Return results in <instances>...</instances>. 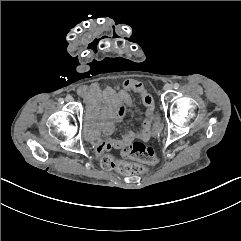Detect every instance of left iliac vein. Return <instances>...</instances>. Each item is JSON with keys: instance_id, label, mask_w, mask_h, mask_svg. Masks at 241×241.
<instances>
[{"instance_id": "obj_1", "label": "left iliac vein", "mask_w": 241, "mask_h": 241, "mask_svg": "<svg viewBox=\"0 0 241 241\" xmlns=\"http://www.w3.org/2000/svg\"><path fill=\"white\" fill-rule=\"evenodd\" d=\"M171 89H172V85L171 84L167 83V84L164 85V90L165 91H170Z\"/></svg>"}]
</instances>
